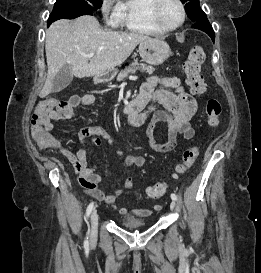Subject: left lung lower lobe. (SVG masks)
Masks as SVG:
<instances>
[{"mask_svg": "<svg viewBox=\"0 0 261 273\" xmlns=\"http://www.w3.org/2000/svg\"><path fill=\"white\" fill-rule=\"evenodd\" d=\"M192 28L200 29V30L206 32L211 37L212 41L214 42L215 33H214V30H213L212 26L210 25L207 18H203V19L196 21L192 25Z\"/></svg>", "mask_w": 261, "mask_h": 273, "instance_id": "left-lung-lower-lobe-1", "label": "left lung lower lobe"}]
</instances>
